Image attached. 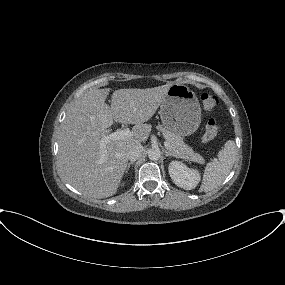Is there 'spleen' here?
I'll return each instance as SVG.
<instances>
[{
	"mask_svg": "<svg viewBox=\"0 0 285 285\" xmlns=\"http://www.w3.org/2000/svg\"><path fill=\"white\" fill-rule=\"evenodd\" d=\"M236 156L235 142L228 140L218 152V159L206 165L200 191L209 192L218 187L230 173Z\"/></svg>",
	"mask_w": 285,
	"mask_h": 285,
	"instance_id": "obj_1",
	"label": "spleen"
}]
</instances>
